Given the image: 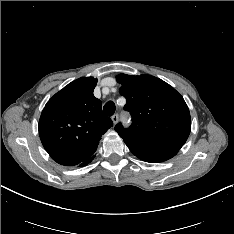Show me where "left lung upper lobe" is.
I'll list each match as a JSON object with an SVG mask.
<instances>
[{"instance_id": "obj_1", "label": "left lung upper lobe", "mask_w": 234, "mask_h": 234, "mask_svg": "<svg viewBox=\"0 0 234 234\" xmlns=\"http://www.w3.org/2000/svg\"><path fill=\"white\" fill-rule=\"evenodd\" d=\"M119 89L132 116V125L121 123L116 132L127 145L161 150H179L191 130V118L183 97L169 84L151 75L119 74Z\"/></svg>"}]
</instances>
